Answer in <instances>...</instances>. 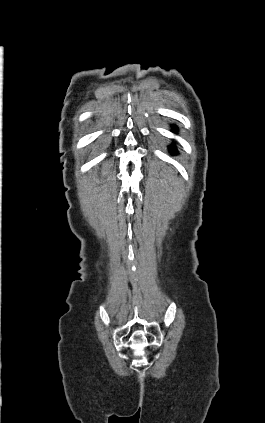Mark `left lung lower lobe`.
I'll return each instance as SVG.
<instances>
[{"label": "left lung lower lobe", "mask_w": 265, "mask_h": 423, "mask_svg": "<svg viewBox=\"0 0 265 423\" xmlns=\"http://www.w3.org/2000/svg\"><path fill=\"white\" fill-rule=\"evenodd\" d=\"M172 127H173V129L175 130L174 132H176L177 127H176V126H172ZM169 149H170V150H174V151H176V148H175V146H174V145H170V146H169Z\"/></svg>", "instance_id": "left-lung-lower-lobe-1"}]
</instances>
